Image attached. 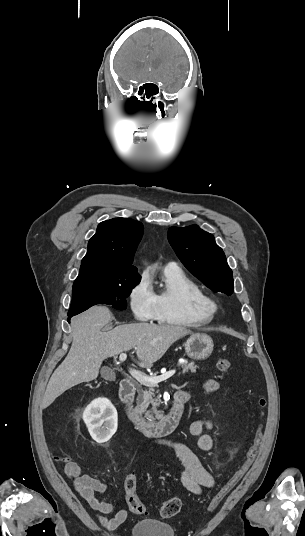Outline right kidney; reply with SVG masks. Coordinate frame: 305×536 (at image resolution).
Masks as SVG:
<instances>
[{"label":"right kidney","mask_w":305,"mask_h":536,"mask_svg":"<svg viewBox=\"0 0 305 536\" xmlns=\"http://www.w3.org/2000/svg\"><path fill=\"white\" fill-rule=\"evenodd\" d=\"M83 420L91 438L98 444L108 442L118 426L116 408L106 398H100L89 404L83 414Z\"/></svg>","instance_id":"1"}]
</instances>
